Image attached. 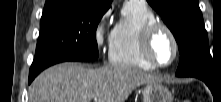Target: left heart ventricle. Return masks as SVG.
Masks as SVG:
<instances>
[{
    "mask_svg": "<svg viewBox=\"0 0 221 102\" xmlns=\"http://www.w3.org/2000/svg\"><path fill=\"white\" fill-rule=\"evenodd\" d=\"M152 53L155 59L160 63H168L174 55V46L169 35L160 31L156 34L153 45Z\"/></svg>",
    "mask_w": 221,
    "mask_h": 102,
    "instance_id": "obj_1",
    "label": "left heart ventricle"
}]
</instances>
